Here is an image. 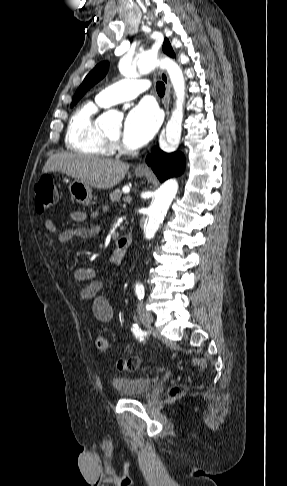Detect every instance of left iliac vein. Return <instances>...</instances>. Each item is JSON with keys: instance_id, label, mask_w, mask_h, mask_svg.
<instances>
[{"instance_id": "1", "label": "left iliac vein", "mask_w": 287, "mask_h": 486, "mask_svg": "<svg viewBox=\"0 0 287 486\" xmlns=\"http://www.w3.org/2000/svg\"><path fill=\"white\" fill-rule=\"evenodd\" d=\"M138 314L141 322L145 326H150L151 323L153 322V316L152 314L145 308L144 303L140 301L138 303Z\"/></svg>"}]
</instances>
